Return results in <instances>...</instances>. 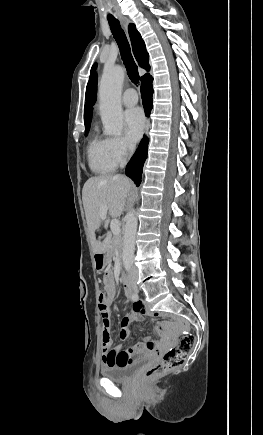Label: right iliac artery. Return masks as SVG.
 <instances>
[{
    "instance_id": "1",
    "label": "right iliac artery",
    "mask_w": 263,
    "mask_h": 435,
    "mask_svg": "<svg viewBox=\"0 0 263 435\" xmlns=\"http://www.w3.org/2000/svg\"><path fill=\"white\" fill-rule=\"evenodd\" d=\"M130 298L135 302L138 300V295L136 293H132L130 294Z\"/></svg>"
}]
</instances>
